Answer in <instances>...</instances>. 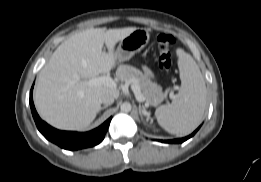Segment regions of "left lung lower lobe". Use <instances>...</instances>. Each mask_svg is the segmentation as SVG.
<instances>
[{
    "label": "left lung lower lobe",
    "instance_id": "obj_1",
    "mask_svg": "<svg viewBox=\"0 0 261 182\" xmlns=\"http://www.w3.org/2000/svg\"><path fill=\"white\" fill-rule=\"evenodd\" d=\"M198 129H196L191 135H189L187 137L180 138V139H174V140H164V141L161 140V142H165V143H182V142L186 141L187 139L191 138L198 131Z\"/></svg>",
    "mask_w": 261,
    "mask_h": 182
}]
</instances>
